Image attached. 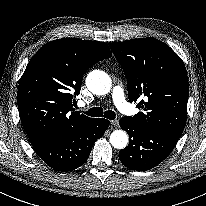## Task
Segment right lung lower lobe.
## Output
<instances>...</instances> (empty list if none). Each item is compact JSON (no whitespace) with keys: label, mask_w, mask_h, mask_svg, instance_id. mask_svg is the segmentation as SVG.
<instances>
[{"label":"right lung lower lobe","mask_w":206,"mask_h":206,"mask_svg":"<svg viewBox=\"0 0 206 206\" xmlns=\"http://www.w3.org/2000/svg\"><path fill=\"white\" fill-rule=\"evenodd\" d=\"M109 126L106 119H92L74 133L33 145L34 151L50 167L68 172L80 167L89 157L95 141Z\"/></svg>","instance_id":"obj_1"}]
</instances>
